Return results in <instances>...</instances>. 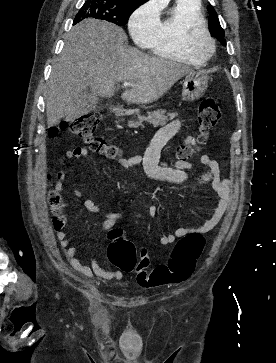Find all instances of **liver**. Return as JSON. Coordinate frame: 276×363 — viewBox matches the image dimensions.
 Returning a JSON list of instances; mask_svg holds the SVG:
<instances>
[{
    "mask_svg": "<svg viewBox=\"0 0 276 363\" xmlns=\"http://www.w3.org/2000/svg\"><path fill=\"white\" fill-rule=\"evenodd\" d=\"M192 72L184 64L128 47L121 27L86 19L66 35L63 50L53 64L46 91L48 128L73 111L87 88L95 96L110 98L116 82H131L135 86L121 98L132 104H147Z\"/></svg>",
    "mask_w": 276,
    "mask_h": 363,
    "instance_id": "obj_1",
    "label": "liver"
}]
</instances>
